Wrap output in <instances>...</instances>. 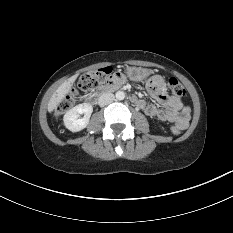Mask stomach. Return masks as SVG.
<instances>
[{"instance_id": "1", "label": "stomach", "mask_w": 233, "mask_h": 233, "mask_svg": "<svg viewBox=\"0 0 233 233\" xmlns=\"http://www.w3.org/2000/svg\"><path fill=\"white\" fill-rule=\"evenodd\" d=\"M126 71L128 75L134 76V81H141L152 73L149 69L139 67H127Z\"/></svg>"}]
</instances>
